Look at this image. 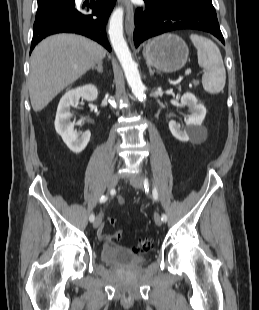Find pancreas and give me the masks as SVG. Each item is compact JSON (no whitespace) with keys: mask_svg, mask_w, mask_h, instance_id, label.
Returning <instances> with one entry per match:
<instances>
[{"mask_svg":"<svg viewBox=\"0 0 259 310\" xmlns=\"http://www.w3.org/2000/svg\"><path fill=\"white\" fill-rule=\"evenodd\" d=\"M193 83H194V85H198L199 82L198 81H194Z\"/></svg>","mask_w":259,"mask_h":310,"instance_id":"pancreas-1","label":"pancreas"}]
</instances>
